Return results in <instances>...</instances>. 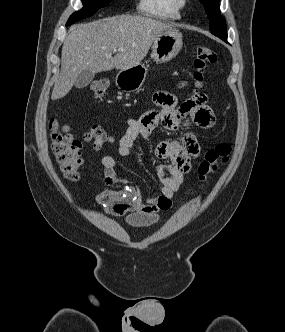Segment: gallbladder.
Listing matches in <instances>:
<instances>
[{
    "mask_svg": "<svg viewBox=\"0 0 285 332\" xmlns=\"http://www.w3.org/2000/svg\"><path fill=\"white\" fill-rule=\"evenodd\" d=\"M95 77V73L92 71L86 70L80 73L78 78L75 81V87L78 89H82L86 87Z\"/></svg>",
    "mask_w": 285,
    "mask_h": 332,
    "instance_id": "gallbladder-1",
    "label": "gallbladder"
}]
</instances>
